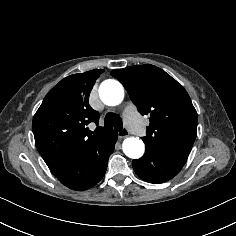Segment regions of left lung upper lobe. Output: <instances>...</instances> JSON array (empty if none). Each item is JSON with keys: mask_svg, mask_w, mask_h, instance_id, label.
Returning a JSON list of instances; mask_svg holds the SVG:
<instances>
[{"mask_svg": "<svg viewBox=\"0 0 236 236\" xmlns=\"http://www.w3.org/2000/svg\"><path fill=\"white\" fill-rule=\"evenodd\" d=\"M142 115H150L146 148H161L188 158L197 135V112L186 90L154 65L111 71Z\"/></svg>", "mask_w": 236, "mask_h": 236, "instance_id": "left-lung-upper-lobe-1", "label": "left lung upper lobe"}]
</instances>
